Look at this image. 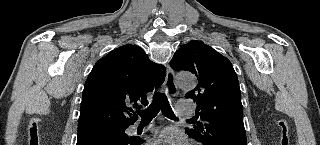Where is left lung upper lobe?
Listing matches in <instances>:
<instances>
[{
	"label": "left lung upper lobe",
	"instance_id": "5c2ea615",
	"mask_svg": "<svg viewBox=\"0 0 320 145\" xmlns=\"http://www.w3.org/2000/svg\"><path fill=\"white\" fill-rule=\"evenodd\" d=\"M170 66L190 71L198 80L185 96L197 103V117L204 123L187 129L190 137L203 145H218L226 137L246 140L239 82L226 57L203 41L192 40L175 52Z\"/></svg>",
	"mask_w": 320,
	"mask_h": 145
}]
</instances>
